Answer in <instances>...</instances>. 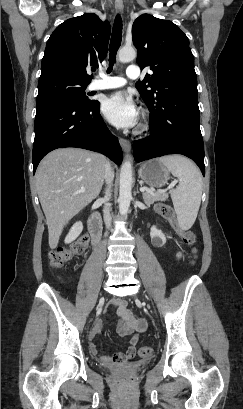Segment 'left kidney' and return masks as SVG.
Masks as SVG:
<instances>
[{
  "instance_id": "1",
  "label": "left kidney",
  "mask_w": 243,
  "mask_h": 409,
  "mask_svg": "<svg viewBox=\"0 0 243 409\" xmlns=\"http://www.w3.org/2000/svg\"><path fill=\"white\" fill-rule=\"evenodd\" d=\"M151 242L154 246L161 247L166 243V237L164 233L156 226H152L150 230Z\"/></svg>"
}]
</instances>
